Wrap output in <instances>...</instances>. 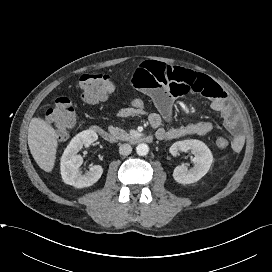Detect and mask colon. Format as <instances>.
Returning a JSON list of instances; mask_svg holds the SVG:
<instances>
[{"label":"colon","mask_w":272,"mask_h":272,"mask_svg":"<svg viewBox=\"0 0 272 272\" xmlns=\"http://www.w3.org/2000/svg\"><path fill=\"white\" fill-rule=\"evenodd\" d=\"M77 87L84 101L94 103L105 100L113 92L114 83L106 73L90 72L79 78ZM130 106L136 110H143L145 103L140 98H134ZM47 118L55 127L58 135L64 136L77 122L73 101L66 94L59 95L49 109ZM215 144L219 149H225L229 146V141L225 137H218Z\"/></svg>","instance_id":"5ec220e1"}]
</instances>
